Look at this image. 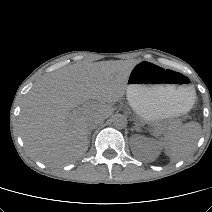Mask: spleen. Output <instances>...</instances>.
Segmentation results:
<instances>
[{
    "mask_svg": "<svg viewBox=\"0 0 212 212\" xmlns=\"http://www.w3.org/2000/svg\"><path fill=\"white\" fill-rule=\"evenodd\" d=\"M201 126L198 123L191 122L183 125L166 142L165 154L173 161L186 158L190 155L199 139Z\"/></svg>",
    "mask_w": 212,
    "mask_h": 212,
    "instance_id": "3e777b00",
    "label": "spleen"
}]
</instances>
